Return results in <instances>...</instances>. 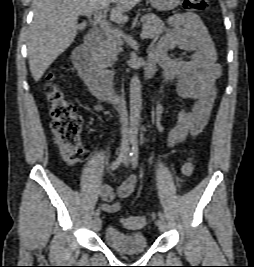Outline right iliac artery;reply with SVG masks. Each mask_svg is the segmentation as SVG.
I'll use <instances>...</instances> for the list:
<instances>
[{"label": "right iliac artery", "instance_id": "82829eb1", "mask_svg": "<svg viewBox=\"0 0 254 267\" xmlns=\"http://www.w3.org/2000/svg\"><path fill=\"white\" fill-rule=\"evenodd\" d=\"M126 150H128L127 147L125 148V151ZM122 157H123V154L121 156H119L115 161L112 162V164H111V170L112 171L116 170L120 166V164L122 162ZM99 215H100V211H99V209H96L94 212V216L97 218Z\"/></svg>", "mask_w": 254, "mask_h": 267}]
</instances>
